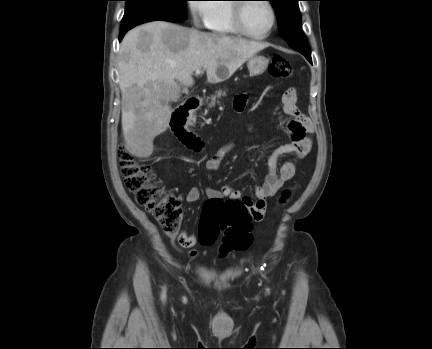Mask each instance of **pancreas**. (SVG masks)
<instances>
[{
	"label": "pancreas",
	"mask_w": 432,
	"mask_h": 349,
	"mask_svg": "<svg viewBox=\"0 0 432 349\" xmlns=\"http://www.w3.org/2000/svg\"><path fill=\"white\" fill-rule=\"evenodd\" d=\"M226 96V92L223 90H219L216 91L214 95H212L210 98H207V102L208 99H211V101L208 103V110L210 108L215 107L216 103H219L218 99H221V97ZM207 109L205 110L206 112L208 111Z\"/></svg>",
	"instance_id": "1"
}]
</instances>
